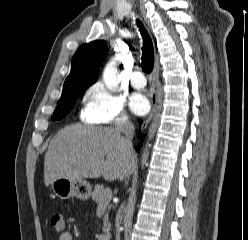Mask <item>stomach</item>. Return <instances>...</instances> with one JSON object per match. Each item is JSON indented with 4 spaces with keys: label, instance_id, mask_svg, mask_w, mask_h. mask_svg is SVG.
Returning <instances> with one entry per match:
<instances>
[{
    "label": "stomach",
    "instance_id": "0dacf381",
    "mask_svg": "<svg viewBox=\"0 0 248 240\" xmlns=\"http://www.w3.org/2000/svg\"><path fill=\"white\" fill-rule=\"evenodd\" d=\"M51 189L60 199L76 197L87 200L91 196V185L85 180L58 178L52 181Z\"/></svg>",
    "mask_w": 248,
    "mask_h": 240
}]
</instances>
